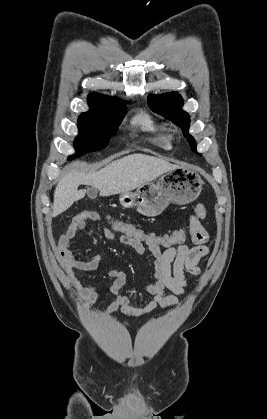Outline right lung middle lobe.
<instances>
[{"mask_svg": "<svg viewBox=\"0 0 267 419\" xmlns=\"http://www.w3.org/2000/svg\"><path fill=\"white\" fill-rule=\"evenodd\" d=\"M90 107L89 111L79 116V134L74 141L76 154L70 156L69 160L105 148L116 133L126 110L125 104L117 98L90 104Z\"/></svg>", "mask_w": 267, "mask_h": 419, "instance_id": "dd1d6c3e", "label": "right lung middle lobe"}]
</instances>
